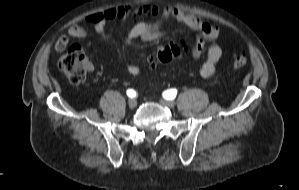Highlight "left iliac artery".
Masks as SVG:
<instances>
[{
  "label": "left iliac artery",
  "instance_id": "left-iliac-artery-1",
  "mask_svg": "<svg viewBox=\"0 0 299 190\" xmlns=\"http://www.w3.org/2000/svg\"><path fill=\"white\" fill-rule=\"evenodd\" d=\"M177 95L176 89H170L163 92V97L167 100H173Z\"/></svg>",
  "mask_w": 299,
  "mask_h": 190
}]
</instances>
